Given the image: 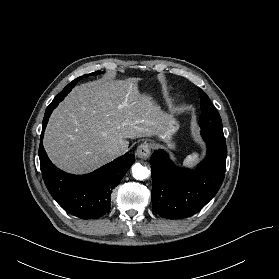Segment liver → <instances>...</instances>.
<instances>
[{"label": "liver", "instance_id": "1", "mask_svg": "<svg viewBox=\"0 0 279 279\" xmlns=\"http://www.w3.org/2000/svg\"><path fill=\"white\" fill-rule=\"evenodd\" d=\"M139 78L75 87L49 118L43 144L51 161L72 174L91 172L128 149L127 139L159 135L162 117L138 90Z\"/></svg>", "mask_w": 279, "mask_h": 279}]
</instances>
